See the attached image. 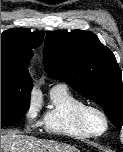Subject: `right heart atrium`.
Wrapping results in <instances>:
<instances>
[{
	"instance_id": "1",
	"label": "right heart atrium",
	"mask_w": 123,
	"mask_h": 152,
	"mask_svg": "<svg viewBox=\"0 0 123 152\" xmlns=\"http://www.w3.org/2000/svg\"><path fill=\"white\" fill-rule=\"evenodd\" d=\"M40 101L36 97H32L24 112V121L27 128H36L41 124L39 119Z\"/></svg>"
}]
</instances>
